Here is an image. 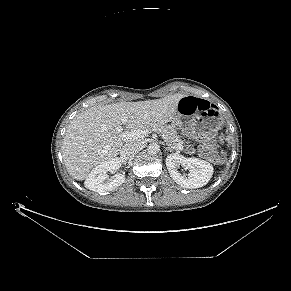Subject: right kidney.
<instances>
[{"label":"right kidney","instance_id":"obj_1","mask_svg":"<svg viewBox=\"0 0 291 291\" xmlns=\"http://www.w3.org/2000/svg\"><path fill=\"white\" fill-rule=\"evenodd\" d=\"M121 166L119 158H112L97 165L87 176L85 187L95 192L112 191L125 181V175L115 174L109 178L107 172H115Z\"/></svg>","mask_w":291,"mask_h":291}]
</instances>
